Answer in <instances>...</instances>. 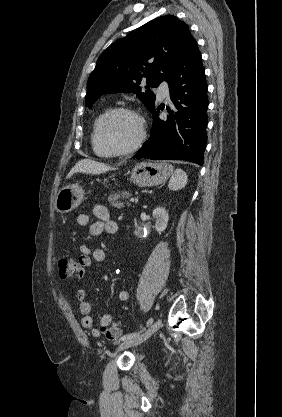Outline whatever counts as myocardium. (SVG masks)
Masks as SVG:
<instances>
[{"label": "myocardium", "instance_id": "f54148a6", "mask_svg": "<svg viewBox=\"0 0 282 417\" xmlns=\"http://www.w3.org/2000/svg\"><path fill=\"white\" fill-rule=\"evenodd\" d=\"M120 115H128L135 118L139 123V135L137 139L125 146H114L110 143L108 138V129L111 122ZM146 138V125L143 117L137 112L127 108H116L111 110L103 119L100 125V141L103 148L110 154H120L132 151L138 148Z\"/></svg>", "mask_w": 282, "mask_h": 417}]
</instances>
